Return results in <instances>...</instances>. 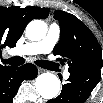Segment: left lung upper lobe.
Returning <instances> with one entry per match:
<instances>
[{"mask_svg":"<svg viewBox=\"0 0 103 103\" xmlns=\"http://www.w3.org/2000/svg\"><path fill=\"white\" fill-rule=\"evenodd\" d=\"M55 20L60 25V41L54 48L58 60L67 63L69 72L81 68H102L100 45L91 30L77 17L56 10Z\"/></svg>","mask_w":103,"mask_h":103,"instance_id":"obj_1","label":"left lung upper lobe"}]
</instances>
